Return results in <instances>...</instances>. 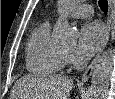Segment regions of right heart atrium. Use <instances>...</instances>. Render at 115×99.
<instances>
[{
	"mask_svg": "<svg viewBox=\"0 0 115 99\" xmlns=\"http://www.w3.org/2000/svg\"><path fill=\"white\" fill-rule=\"evenodd\" d=\"M72 61H73V57L70 54L66 55V62L70 63Z\"/></svg>",
	"mask_w": 115,
	"mask_h": 99,
	"instance_id": "d8ad5b80",
	"label": "right heart atrium"
}]
</instances>
